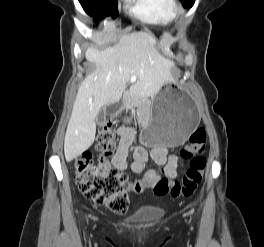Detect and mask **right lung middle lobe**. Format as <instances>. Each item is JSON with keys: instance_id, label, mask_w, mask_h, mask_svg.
Listing matches in <instances>:
<instances>
[{"instance_id": "1", "label": "right lung middle lobe", "mask_w": 264, "mask_h": 247, "mask_svg": "<svg viewBox=\"0 0 264 247\" xmlns=\"http://www.w3.org/2000/svg\"><path fill=\"white\" fill-rule=\"evenodd\" d=\"M83 9L95 20L100 19V16H117V0H79Z\"/></svg>"}]
</instances>
